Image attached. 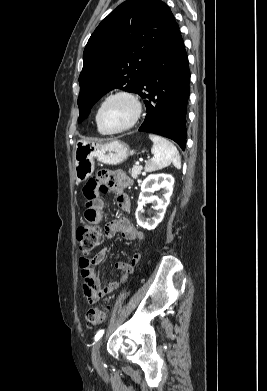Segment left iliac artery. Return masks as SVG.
<instances>
[{
    "mask_svg": "<svg viewBox=\"0 0 267 391\" xmlns=\"http://www.w3.org/2000/svg\"><path fill=\"white\" fill-rule=\"evenodd\" d=\"M103 333L104 330L98 331L97 334L95 335V341H98L102 337Z\"/></svg>",
    "mask_w": 267,
    "mask_h": 391,
    "instance_id": "left-iliac-artery-1",
    "label": "left iliac artery"
}]
</instances>
